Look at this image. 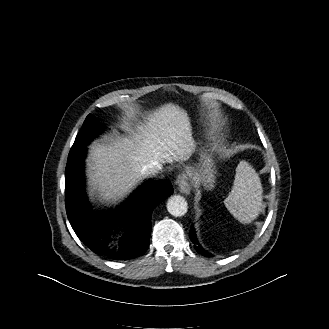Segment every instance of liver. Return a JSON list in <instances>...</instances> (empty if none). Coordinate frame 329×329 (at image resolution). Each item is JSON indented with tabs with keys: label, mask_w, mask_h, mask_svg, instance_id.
Returning a JSON list of instances; mask_svg holds the SVG:
<instances>
[{
	"label": "liver",
	"mask_w": 329,
	"mask_h": 329,
	"mask_svg": "<svg viewBox=\"0 0 329 329\" xmlns=\"http://www.w3.org/2000/svg\"><path fill=\"white\" fill-rule=\"evenodd\" d=\"M127 123L128 136L108 143H95L87 158L90 194L115 203L135 189L144 176L141 169L157 161L160 164L187 160L194 150L188 114L178 105L165 104L138 121Z\"/></svg>",
	"instance_id": "obj_1"
}]
</instances>
